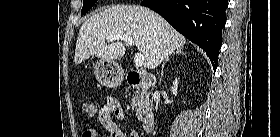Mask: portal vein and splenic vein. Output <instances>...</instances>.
Here are the masks:
<instances>
[{"mask_svg": "<svg viewBox=\"0 0 280 137\" xmlns=\"http://www.w3.org/2000/svg\"><path fill=\"white\" fill-rule=\"evenodd\" d=\"M122 40L125 41L127 44L130 46H134L135 42L132 39V37L126 36V35H114V36H109L106 38V41H114V40ZM134 63L137 67H142L144 65V56L141 53H136L134 56Z\"/></svg>", "mask_w": 280, "mask_h": 137, "instance_id": "portal-vein-and-splenic-vein-1", "label": "portal vein and splenic vein"}]
</instances>
